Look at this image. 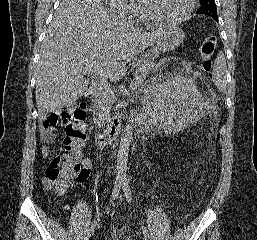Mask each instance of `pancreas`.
I'll use <instances>...</instances> for the list:
<instances>
[{"label": "pancreas", "mask_w": 257, "mask_h": 240, "mask_svg": "<svg viewBox=\"0 0 257 240\" xmlns=\"http://www.w3.org/2000/svg\"><path fill=\"white\" fill-rule=\"evenodd\" d=\"M155 69L154 61H145L135 72V79L132 82L134 88L139 87L147 79L150 72ZM115 96L109 90L103 88L95 93V99L92 101L93 110L96 111L99 119L102 118L105 111L109 110L114 103Z\"/></svg>", "instance_id": "obj_1"}]
</instances>
